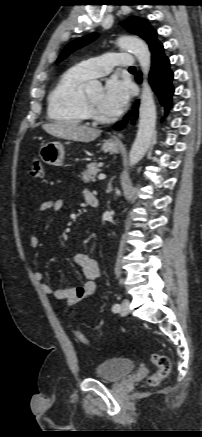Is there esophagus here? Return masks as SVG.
<instances>
[{
    "label": "esophagus",
    "instance_id": "obj_1",
    "mask_svg": "<svg viewBox=\"0 0 202 437\" xmlns=\"http://www.w3.org/2000/svg\"><path fill=\"white\" fill-rule=\"evenodd\" d=\"M122 137V134H118L117 136H114L113 141L119 143Z\"/></svg>",
    "mask_w": 202,
    "mask_h": 437
}]
</instances>
